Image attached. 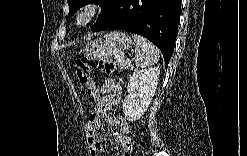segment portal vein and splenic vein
<instances>
[{
  "label": "portal vein and splenic vein",
  "mask_w": 247,
  "mask_h": 156,
  "mask_svg": "<svg viewBox=\"0 0 247 156\" xmlns=\"http://www.w3.org/2000/svg\"><path fill=\"white\" fill-rule=\"evenodd\" d=\"M130 64H131V61L128 59V60H126V67L128 68V67H130Z\"/></svg>",
  "instance_id": "portal-vein-and-splenic-vein-1"
}]
</instances>
